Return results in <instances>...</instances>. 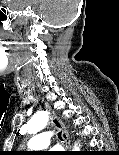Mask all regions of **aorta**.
Returning <instances> with one entry per match:
<instances>
[{
    "label": "aorta",
    "mask_w": 119,
    "mask_h": 155,
    "mask_svg": "<svg viewBox=\"0 0 119 155\" xmlns=\"http://www.w3.org/2000/svg\"><path fill=\"white\" fill-rule=\"evenodd\" d=\"M49 117L47 112H39L35 114L27 123V129L29 134H36L44 129L48 123ZM75 151L79 150V147L75 145Z\"/></svg>",
    "instance_id": "762f6f07"
}]
</instances>
